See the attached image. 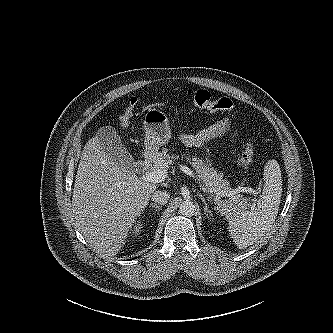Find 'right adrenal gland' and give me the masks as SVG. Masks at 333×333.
I'll list each match as a JSON object with an SVG mask.
<instances>
[{"label": "right adrenal gland", "instance_id": "obj_1", "mask_svg": "<svg viewBox=\"0 0 333 333\" xmlns=\"http://www.w3.org/2000/svg\"><path fill=\"white\" fill-rule=\"evenodd\" d=\"M150 207L158 209V210H160L162 208V206H159L158 204H154V203H151Z\"/></svg>", "mask_w": 333, "mask_h": 333}]
</instances>
